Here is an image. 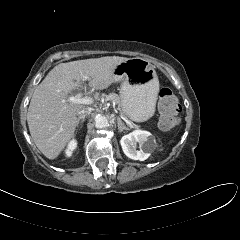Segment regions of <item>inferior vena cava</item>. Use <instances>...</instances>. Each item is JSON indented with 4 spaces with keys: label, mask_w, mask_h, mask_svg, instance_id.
Instances as JSON below:
<instances>
[{
    "label": "inferior vena cava",
    "mask_w": 240,
    "mask_h": 240,
    "mask_svg": "<svg viewBox=\"0 0 240 240\" xmlns=\"http://www.w3.org/2000/svg\"><path fill=\"white\" fill-rule=\"evenodd\" d=\"M90 113H91V108H84L81 111H79L78 114H79V117H85Z\"/></svg>",
    "instance_id": "obj_1"
}]
</instances>
